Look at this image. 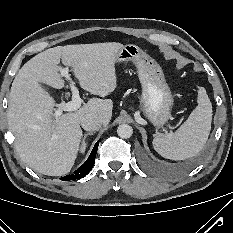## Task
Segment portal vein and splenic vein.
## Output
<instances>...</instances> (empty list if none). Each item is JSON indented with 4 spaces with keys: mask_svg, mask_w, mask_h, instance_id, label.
<instances>
[{
    "mask_svg": "<svg viewBox=\"0 0 233 233\" xmlns=\"http://www.w3.org/2000/svg\"><path fill=\"white\" fill-rule=\"evenodd\" d=\"M61 75L67 78L70 81V86H71V91H72V101H69L67 103H64L60 105V107L55 111V116L58 117L62 115L63 111H75L80 108L82 100L79 96V91L78 89L74 86V83L71 81L69 77V69L68 68H63L60 70Z\"/></svg>",
    "mask_w": 233,
    "mask_h": 233,
    "instance_id": "portal-vein-and-splenic-vein-1",
    "label": "portal vein and splenic vein"
}]
</instances>
